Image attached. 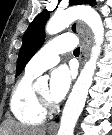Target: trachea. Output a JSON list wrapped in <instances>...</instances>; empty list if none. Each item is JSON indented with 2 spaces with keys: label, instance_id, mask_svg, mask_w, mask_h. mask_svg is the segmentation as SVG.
Listing matches in <instances>:
<instances>
[{
  "label": "trachea",
  "instance_id": "3493384b",
  "mask_svg": "<svg viewBox=\"0 0 112 135\" xmlns=\"http://www.w3.org/2000/svg\"><path fill=\"white\" fill-rule=\"evenodd\" d=\"M79 52H80V48H76L73 53L74 54H79Z\"/></svg>",
  "mask_w": 112,
  "mask_h": 135
}]
</instances>
